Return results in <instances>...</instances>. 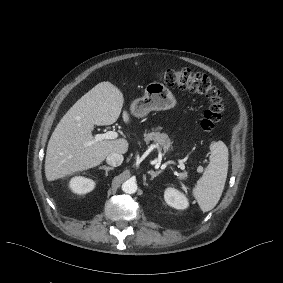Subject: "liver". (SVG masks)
Here are the masks:
<instances>
[{"mask_svg":"<svg viewBox=\"0 0 283 283\" xmlns=\"http://www.w3.org/2000/svg\"><path fill=\"white\" fill-rule=\"evenodd\" d=\"M121 93L110 83L101 82L79 98L61 118L48 142L45 175L53 180L99 165L112 154H123L124 139L96 140L94 124L111 125L121 113ZM126 120V115H124Z\"/></svg>","mask_w":283,"mask_h":283,"instance_id":"liver-1","label":"liver"}]
</instances>
